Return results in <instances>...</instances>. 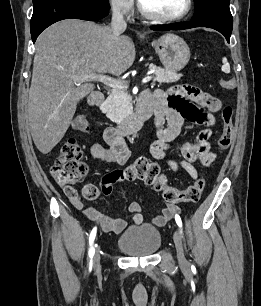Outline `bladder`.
Returning <instances> with one entry per match:
<instances>
[{
	"mask_svg": "<svg viewBox=\"0 0 261 306\" xmlns=\"http://www.w3.org/2000/svg\"><path fill=\"white\" fill-rule=\"evenodd\" d=\"M159 230L142 224L128 227L117 239V248L130 256L143 257L155 254L161 246Z\"/></svg>",
	"mask_w": 261,
	"mask_h": 306,
	"instance_id": "bladder-1",
	"label": "bladder"
}]
</instances>
